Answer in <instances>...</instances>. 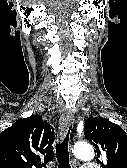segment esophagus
<instances>
[{
	"instance_id": "34e87169",
	"label": "esophagus",
	"mask_w": 127,
	"mask_h": 168,
	"mask_svg": "<svg viewBox=\"0 0 127 168\" xmlns=\"http://www.w3.org/2000/svg\"><path fill=\"white\" fill-rule=\"evenodd\" d=\"M74 121V113L73 112H65L59 121V135L62 137L65 135L67 129L71 126Z\"/></svg>"
}]
</instances>
